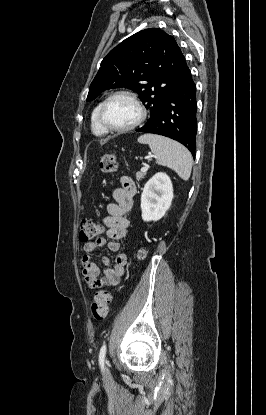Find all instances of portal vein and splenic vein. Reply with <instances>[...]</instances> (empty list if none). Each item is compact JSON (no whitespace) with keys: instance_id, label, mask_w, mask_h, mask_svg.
<instances>
[{"instance_id":"obj_1","label":"portal vein and splenic vein","mask_w":266,"mask_h":415,"mask_svg":"<svg viewBox=\"0 0 266 415\" xmlns=\"http://www.w3.org/2000/svg\"><path fill=\"white\" fill-rule=\"evenodd\" d=\"M149 168V165H145L144 167L141 168L142 172H146Z\"/></svg>"}]
</instances>
